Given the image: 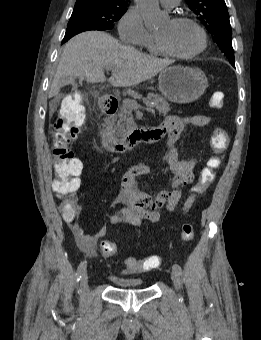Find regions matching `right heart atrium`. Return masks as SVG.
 Here are the masks:
<instances>
[{
	"label": "right heart atrium",
	"mask_w": 261,
	"mask_h": 340,
	"mask_svg": "<svg viewBox=\"0 0 261 340\" xmlns=\"http://www.w3.org/2000/svg\"><path fill=\"white\" fill-rule=\"evenodd\" d=\"M118 32L123 42L136 46H142L151 35L135 7H130L122 15L118 22Z\"/></svg>",
	"instance_id": "obj_1"
}]
</instances>
